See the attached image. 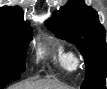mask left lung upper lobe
<instances>
[{
	"label": "left lung upper lobe",
	"instance_id": "obj_1",
	"mask_svg": "<svg viewBox=\"0 0 107 89\" xmlns=\"http://www.w3.org/2000/svg\"><path fill=\"white\" fill-rule=\"evenodd\" d=\"M46 26L57 37L75 43L86 63V77L81 89H100L107 77L106 32L98 15L83 0H70L53 13Z\"/></svg>",
	"mask_w": 107,
	"mask_h": 89
}]
</instances>
